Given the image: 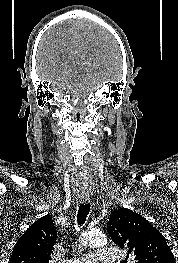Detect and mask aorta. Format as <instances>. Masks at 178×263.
Here are the masks:
<instances>
[{"instance_id":"762f6f07","label":"aorta","mask_w":178,"mask_h":263,"mask_svg":"<svg viewBox=\"0 0 178 263\" xmlns=\"http://www.w3.org/2000/svg\"><path fill=\"white\" fill-rule=\"evenodd\" d=\"M81 243L90 246H104L107 244V237L99 231H88L83 233Z\"/></svg>"}]
</instances>
